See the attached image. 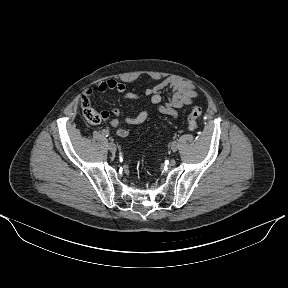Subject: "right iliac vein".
<instances>
[{
	"label": "right iliac vein",
	"instance_id": "obj_1",
	"mask_svg": "<svg viewBox=\"0 0 288 288\" xmlns=\"http://www.w3.org/2000/svg\"><path fill=\"white\" fill-rule=\"evenodd\" d=\"M108 149L110 150V152L115 153L117 150V147H116L115 143L109 142L108 143Z\"/></svg>",
	"mask_w": 288,
	"mask_h": 288
}]
</instances>
